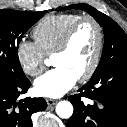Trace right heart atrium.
I'll return each instance as SVG.
<instances>
[{
  "label": "right heart atrium",
  "mask_w": 127,
  "mask_h": 127,
  "mask_svg": "<svg viewBox=\"0 0 127 127\" xmlns=\"http://www.w3.org/2000/svg\"><path fill=\"white\" fill-rule=\"evenodd\" d=\"M16 57L25 74L39 76L45 68V55L36 42L20 40L16 46Z\"/></svg>",
  "instance_id": "d8ad5b80"
}]
</instances>
